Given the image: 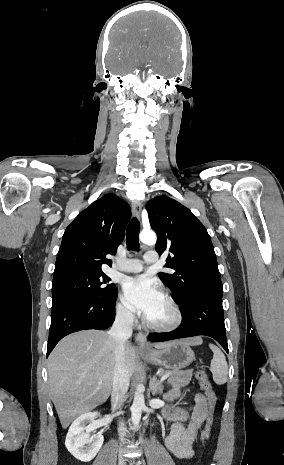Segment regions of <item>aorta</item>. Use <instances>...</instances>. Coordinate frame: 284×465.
<instances>
[{"label":"aorta","instance_id":"1","mask_svg":"<svg viewBox=\"0 0 284 465\" xmlns=\"http://www.w3.org/2000/svg\"><path fill=\"white\" fill-rule=\"evenodd\" d=\"M140 241L144 244L154 245L156 243L157 237L155 232L151 230H144L140 233ZM144 386L139 384L136 388L134 394L133 404L131 406V420L134 426H138L141 420L142 409L145 407Z\"/></svg>","mask_w":284,"mask_h":465}]
</instances>
